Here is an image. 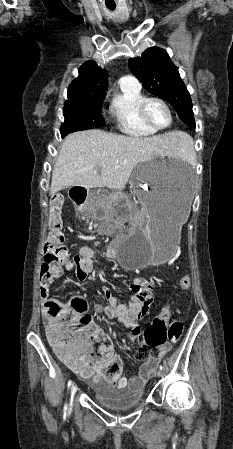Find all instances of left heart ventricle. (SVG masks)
I'll return each mask as SVG.
<instances>
[{
	"mask_svg": "<svg viewBox=\"0 0 233 449\" xmlns=\"http://www.w3.org/2000/svg\"><path fill=\"white\" fill-rule=\"evenodd\" d=\"M146 113L148 119L157 127H163L169 121L167 110L158 102H150L147 105Z\"/></svg>",
	"mask_w": 233,
	"mask_h": 449,
	"instance_id": "left-heart-ventricle-1",
	"label": "left heart ventricle"
}]
</instances>
